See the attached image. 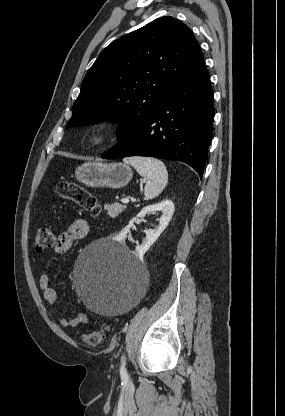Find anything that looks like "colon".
<instances>
[{"mask_svg":"<svg viewBox=\"0 0 285 416\" xmlns=\"http://www.w3.org/2000/svg\"><path fill=\"white\" fill-rule=\"evenodd\" d=\"M57 195L63 199L77 204L91 216L97 217L101 212L97 198L83 186L73 182H61L56 188ZM55 242V235L49 228H41L37 231L34 240L35 250L39 253L50 249ZM108 331L107 325H101L92 332L80 334L81 340L89 346L101 345Z\"/></svg>","mask_w":285,"mask_h":416,"instance_id":"obj_1","label":"colon"}]
</instances>
